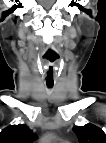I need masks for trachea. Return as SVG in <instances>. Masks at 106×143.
Here are the masks:
<instances>
[{"label":"trachea","mask_w":106,"mask_h":143,"mask_svg":"<svg viewBox=\"0 0 106 143\" xmlns=\"http://www.w3.org/2000/svg\"><path fill=\"white\" fill-rule=\"evenodd\" d=\"M46 85H47L48 88H52L54 83H46Z\"/></svg>","instance_id":"1"}]
</instances>
